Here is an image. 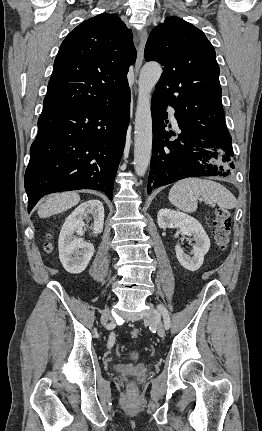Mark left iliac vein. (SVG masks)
Masks as SVG:
<instances>
[{
  "label": "left iliac vein",
  "mask_w": 262,
  "mask_h": 431,
  "mask_svg": "<svg viewBox=\"0 0 262 431\" xmlns=\"http://www.w3.org/2000/svg\"><path fill=\"white\" fill-rule=\"evenodd\" d=\"M145 320L151 324H154L157 327V333L160 337L165 336V328L160 321V314L154 307H150L146 311Z\"/></svg>",
  "instance_id": "obj_1"
}]
</instances>
